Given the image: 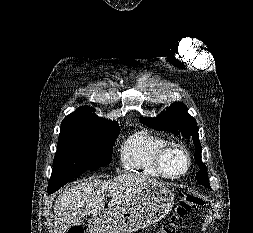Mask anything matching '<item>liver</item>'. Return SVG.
Returning a JSON list of instances; mask_svg holds the SVG:
<instances>
[{"mask_svg":"<svg viewBox=\"0 0 253 233\" xmlns=\"http://www.w3.org/2000/svg\"><path fill=\"white\" fill-rule=\"evenodd\" d=\"M160 184L142 174L128 173L107 181L88 178L67 187L54 204V233H65L70 225L79 222L85 215L106 212L105 197L111 198L109 206L120 205L143 189Z\"/></svg>","mask_w":253,"mask_h":233,"instance_id":"1","label":"liver"}]
</instances>
